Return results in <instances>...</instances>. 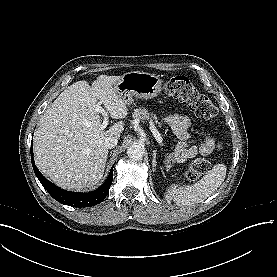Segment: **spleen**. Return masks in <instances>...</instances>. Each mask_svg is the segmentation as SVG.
<instances>
[{
    "label": "spleen",
    "instance_id": "obj_1",
    "mask_svg": "<svg viewBox=\"0 0 277 277\" xmlns=\"http://www.w3.org/2000/svg\"><path fill=\"white\" fill-rule=\"evenodd\" d=\"M227 168L224 164H216L201 180L193 185L180 186L172 184L166 190V200H174L179 205L200 203L213 194L223 183Z\"/></svg>",
    "mask_w": 277,
    "mask_h": 277
}]
</instances>
